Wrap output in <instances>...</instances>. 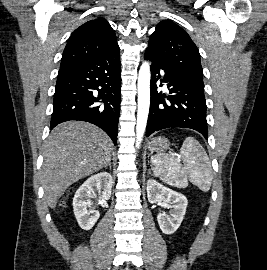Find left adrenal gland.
<instances>
[{"mask_svg": "<svg viewBox=\"0 0 267 270\" xmlns=\"http://www.w3.org/2000/svg\"><path fill=\"white\" fill-rule=\"evenodd\" d=\"M148 175H151V170L150 169L148 170Z\"/></svg>", "mask_w": 267, "mask_h": 270, "instance_id": "1", "label": "left adrenal gland"}]
</instances>
